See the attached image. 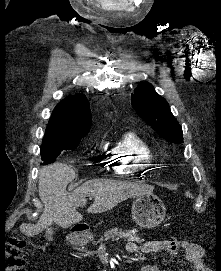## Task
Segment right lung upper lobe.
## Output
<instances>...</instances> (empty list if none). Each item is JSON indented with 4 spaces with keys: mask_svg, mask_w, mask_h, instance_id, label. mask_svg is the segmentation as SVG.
I'll use <instances>...</instances> for the list:
<instances>
[{
    "mask_svg": "<svg viewBox=\"0 0 221 271\" xmlns=\"http://www.w3.org/2000/svg\"><path fill=\"white\" fill-rule=\"evenodd\" d=\"M92 116L84 95L69 96L54 109L45 131L46 137L74 138L87 135Z\"/></svg>",
    "mask_w": 221,
    "mask_h": 271,
    "instance_id": "1",
    "label": "right lung upper lobe"
}]
</instances>
